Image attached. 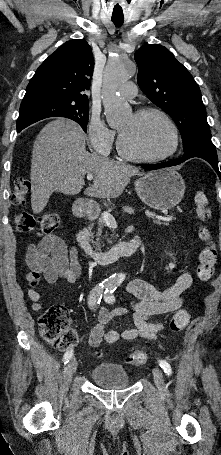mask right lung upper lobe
<instances>
[{
    "mask_svg": "<svg viewBox=\"0 0 221 455\" xmlns=\"http://www.w3.org/2000/svg\"><path fill=\"white\" fill-rule=\"evenodd\" d=\"M93 54L84 39L65 42L31 78L21 106L50 101H86L93 74Z\"/></svg>",
    "mask_w": 221,
    "mask_h": 455,
    "instance_id": "cb5924a9",
    "label": "right lung upper lobe"
}]
</instances>
